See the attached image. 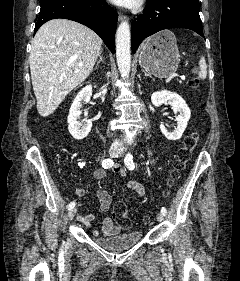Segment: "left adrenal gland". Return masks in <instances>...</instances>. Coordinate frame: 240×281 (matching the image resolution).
<instances>
[{
	"label": "left adrenal gland",
	"instance_id": "1",
	"mask_svg": "<svg viewBox=\"0 0 240 281\" xmlns=\"http://www.w3.org/2000/svg\"><path fill=\"white\" fill-rule=\"evenodd\" d=\"M143 72H144V75H145V77H150V78H152L153 80H154V78L150 75V74H148L147 72H145L144 70H142Z\"/></svg>",
	"mask_w": 240,
	"mask_h": 281
}]
</instances>
